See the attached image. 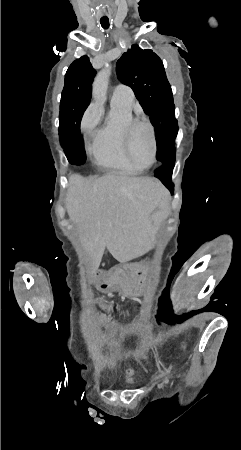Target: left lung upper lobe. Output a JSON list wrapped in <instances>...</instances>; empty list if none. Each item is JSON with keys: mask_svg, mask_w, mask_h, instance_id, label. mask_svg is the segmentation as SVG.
<instances>
[{"mask_svg": "<svg viewBox=\"0 0 241 450\" xmlns=\"http://www.w3.org/2000/svg\"><path fill=\"white\" fill-rule=\"evenodd\" d=\"M118 79L130 86L155 127L157 159L163 163L174 154L178 132L171 86L162 60L150 49L133 45L117 61Z\"/></svg>", "mask_w": 241, "mask_h": 450, "instance_id": "left-lung-upper-lobe-1", "label": "left lung upper lobe"}]
</instances>
